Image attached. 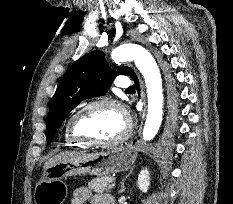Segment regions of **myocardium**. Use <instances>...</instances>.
<instances>
[{
  "label": "myocardium",
  "mask_w": 233,
  "mask_h": 204,
  "mask_svg": "<svg viewBox=\"0 0 233 204\" xmlns=\"http://www.w3.org/2000/svg\"><path fill=\"white\" fill-rule=\"evenodd\" d=\"M98 106L113 107L121 114V116L124 120L125 127H124L123 132L118 137H116L112 140H109V141H95V140L88 139V138L80 135L77 132L76 123H77L78 118L87 110L94 108V107H98ZM68 128H69L70 135L74 139L84 143L85 145L94 146V147L109 148V147L119 145L128 139V137L130 136L131 131H132V121H131V117H130L128 111L120 102H118L117 100H114V99H110V98H102V99L90 101V102L86 103L85 105H83L82 107H80L71 116V118L69 120Z\"/></svg>",
  "instance_id": "1"
}]
</instances>
